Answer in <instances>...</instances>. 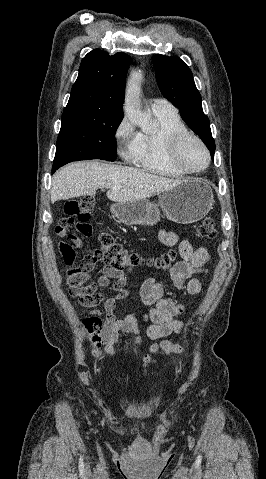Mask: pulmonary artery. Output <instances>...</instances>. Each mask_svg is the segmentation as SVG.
<instances>
[{
    "label": "pulmonary artery",
    "mask_w": 266,
    "mask_h": 479,
    "mask_svg": "<svg viewBox=\"0 0 266 479\" xmlns=\"http://www.w3.org/2000/svg\"><path fill=\"white\" fill-rule=\"evenodd\" d=\"M153 112H176V109L165 99H153L151 102Z\"/></svg>",
    "instance_id": "1"
}]
</instances>
